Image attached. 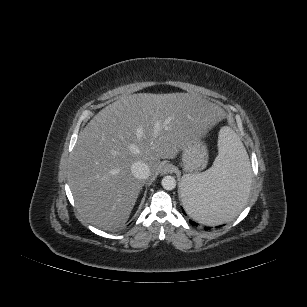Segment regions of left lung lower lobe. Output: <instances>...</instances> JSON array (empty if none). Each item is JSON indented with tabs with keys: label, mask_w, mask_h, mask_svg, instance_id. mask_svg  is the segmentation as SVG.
I'll return each mask as SVG.
<instances>
[{
	"label": "left lung lower lobe",
	"mask_w": 307,
	"mask_h": 307,
	"mask_svg": "<svg viewBox=\"0 0 307 307\" xmlns=\"http://www.w3.org/2000/svg\"><path fill=\"white\" fill-rule=\"evenodd\" d=\"M244 176V171L242 169L237 170L233 174L232 186L225 192L223 197L221 198V210L225 214H233L236 213L241 206V197L239 193V185ZM184 215H186L185 211L182 210ZM193 226H197V223L190 220L189 221ZM220 227V226H219ZM206 230L210 229V227H205Z\"/></svg>",
	"instance_id": "left-lung-lower-lobe-1"
}]
</instances>
